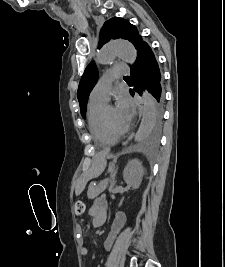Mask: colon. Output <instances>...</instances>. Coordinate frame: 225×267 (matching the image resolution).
Instances as JSON below:
<instances>
[{
  "instance_id": "obj_1",
  "label": "colon",
  "mask_w": 225,
  "mask_h": 267,
  "mask_svg": "<svg viewBox=\"0 0 225 267\" xmlns=\"http://www.w3.org/2000/svg\"><path fill=\"white\" fill-rule=\"evenodd\" d=\"M85 210V205L82 201L78 200L74 204V212L76 215H82Z\"/></svg>"
}]
</instances>
